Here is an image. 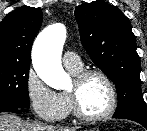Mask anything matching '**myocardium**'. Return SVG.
Wrapping results in <instances>:
<instances>
[{
	"label": "myocardium",
	"instance_id": "f54148a6",
	"mask_svg": "<svg viewBox=\"0 0 147 131\" xmlns=\"http://www.w3.org/2000/svg\"><path fill=\"white\" fill-rule=\"evenodd\" d=\"M92 76H97L100 77L106 84L108 91H109V104L108 107L106 108L105 111H103L100 114L97 115H88L83 112L81 109L77 93L75 91H69L67 92L70 102H71V107L74 115L86 122H96L100 121L103 119H106L109 117L115 110L116 105H117V91L114 82L112 79L103 71L99 69H87V70H82L76 75H74V82L76 85H79L83 83L87 78L92 77Z\"/></svg>",
	"mask_w": 147,
	"mask_h": 131
}]
</instances>
